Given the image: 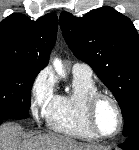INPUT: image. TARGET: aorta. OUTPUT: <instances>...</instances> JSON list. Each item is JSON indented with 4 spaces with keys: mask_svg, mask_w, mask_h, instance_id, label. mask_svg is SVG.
<instances>
[{
    "mask_svg": "<svg viewBox=\"0 0 139 150\" xmlns=\"http://www.w3.org/2000/svg\"><path fill=\"white\" fill-rule=\"evenodd\" d=\"M53 64L58 74H62L63 71L61 62L58 59H56Z\"/></svg>",
    "mask_w": 139,
    "mask_h": 150,
    "instance_id": "aorta-1",
    "label": "aorta"
}]
</instances>
